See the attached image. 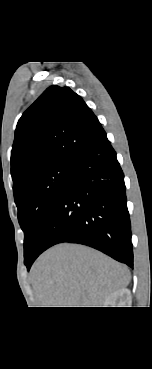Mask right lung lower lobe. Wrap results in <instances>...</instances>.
<instances>
[{
    "label": "right lung lower lobe",
    "instance_id": "right-lung-lower-lobe-1",
    "mask_svg": "<svg viewBox=\"0 0 152 369\" xmlns=\"http://www.w3.org/2000/svg\"><path fill=\"white\" fill-rule=\"evenodd\" d=\"M62 242L91 246L133 267L124 174L106 133L71 162L34 252L25 261L28 270L43 251Z\"/></svg>",
    "mask_w": 152,
    "mask_h": 369
}]
</instances>
